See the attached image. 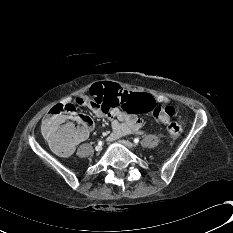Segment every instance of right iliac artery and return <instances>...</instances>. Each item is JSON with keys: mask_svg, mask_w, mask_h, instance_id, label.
Returning <instances> with one entry per match:
<instances>
[{"mask_svg": "<svg viewBox=\"0 0 233 233\" xmlns=\"http://www.w3.org/2000/svg\"><path fill=\"white\" fill-rule=\"evenodd\" d=\"M98 145H102V141H99V142H98Z\"/></svg>", "mask_w": 233, "mask_h": 233, "instance_id": "1", "label": "right iliac artery"}]
</instances>
